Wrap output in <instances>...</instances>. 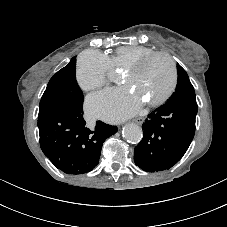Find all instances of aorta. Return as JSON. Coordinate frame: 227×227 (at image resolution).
<instances>
[{
	"label": "aorta",
	"instance_id": "762f6f07",
	"mask_svg": "<svg viewBox=\"0 0 227 227\" xmlns=\"http://www.w3.org/2000/svg\"><path fill=\"white\" fill-rule=\"evenodd\" d=\"M122 134L126 140L132 143H139L143 137L141 127L134 123L125 125Z\"/></svg>",
	"mask_w": 227,
	"mask_h": 227
}]
</instances>
